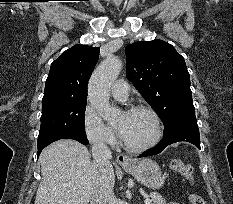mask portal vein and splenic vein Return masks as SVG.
Here are the masks:
<instances>
[{
	"label": "portal vein and splenic vein",
	"mask_w": 233,
	"mask_h": 204,
	"mask_svg": "<svg viewBox=\"0 0 233 204\" xmlns=\"http://www.w3.org/2000/svg\"><path fill=\"white\" fill-rule=\"evenodd\" d=\"M145 204H151V199L150 198H146L144 201Z\"/></svg>",
	"instance_id": "18ae733b"
}]
</instances>
